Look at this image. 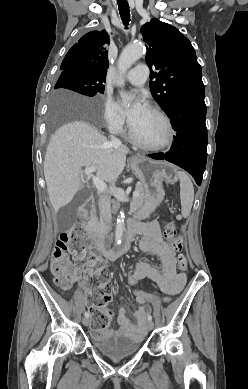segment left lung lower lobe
Instances as JSON below:
<instances>
[{
	"label": "left lung lower lobe",
	"mask_w": 248,
	"mask_h": 389,
	"mask_svg": "<svg viewBox=\"0 0 248 389\" xmlns=\"http://www.w3.org/2000/svg\"><path fill=\"white\" fill-rule=\"evenodd\" d=\"M204 91L189 94L178 100L166 113L177 132L171 149L150 155L165 159L189 172L198 185L202 182L207 161V128Z\"/></svg>",
	"instance_id": "obj_1"
}]
</instances>
